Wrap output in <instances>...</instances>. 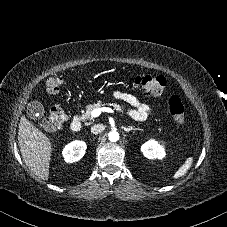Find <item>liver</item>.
<instances>
[{"label": "liver", "mask_w": 227, "mask_h": 227, "mask_svg": "<svg viewBox=\"0 0 227 227\" xmlns=\"http://www.w3.org/2000/svg\"><path fill=\"white\" fill-rule=\"evenodd\" d=\"M18 143L26 166L40 179L48 180L52 152L51 142L25 116L20 119Z\"/></svg>", "instance_id": "6515ba94"}]
</instances>
